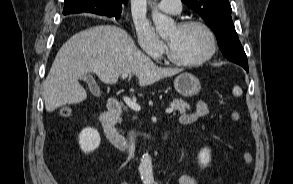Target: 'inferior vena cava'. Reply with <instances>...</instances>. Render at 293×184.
I'll return each mask as SVG.
<instances>
[{
  "label": "inferior vena cava",
  "instance_id": "inferior-vena-cava-1",
  "mask_svg": "<svg viewBox=\"0 0 293 184\" xmlns=\"http://www.w3.org/2000/svg\"><path fill=\"white\" fill-rule=\"evenodd\" d=\"M129 143V158H133L135 152V135L133 132L129 134Z\"/></svg>",
  "mask_w": 293,
  "mask_h": 184
}]
</instances>
